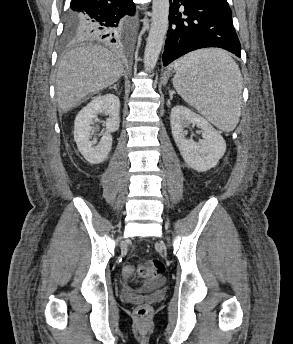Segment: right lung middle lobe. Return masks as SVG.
Segmentation results:
<instances>
[{
    "label": "right lung middle lobe",
    "instance_id": "obj_1",
    "mask_svg": "<svg viewBox=\"0 0 293 344\" xmlns=\"http://www.w3.org/2000/svg\"><path fill=\"white\" fill-rule=\"evenodd\" d=\"M85 17L80 13L69 12L65 31L63 34L64 43H71L82 40L81 26Z\"/></svg>",
    "mask_w": 293,
    "mask_h": 344
}]
</instances>
